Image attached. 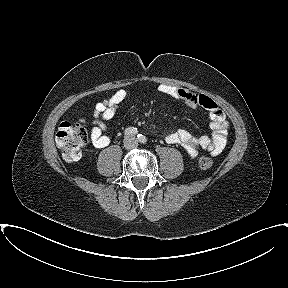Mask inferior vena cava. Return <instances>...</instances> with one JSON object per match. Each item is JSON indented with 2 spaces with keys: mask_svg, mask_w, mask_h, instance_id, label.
Instances as JSON below:
<instances>
[{
  "mask_svg": "<svg viewBox=\"0 0 288 288\" xmlns=\"http://www.w3.org/2000/svg\"><path fill=\"white\" fill-rule=\"evenodd\" d=\"M137 146H138V143H137L135 138L128 137V138L125 139V147L127 149H133V148H135Z\"/></svg>",
  "mask_w": 288,
  "mask_h": 288,
  "instance_id": "inferior-vena-cava-1",
  "label": "inferior vena cava"
}]
</instances>
